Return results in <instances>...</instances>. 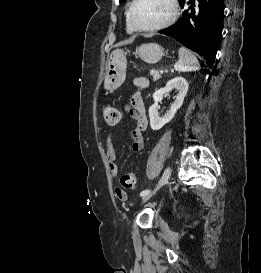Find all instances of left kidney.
Masks as SVG:
<instances>
[{
	"mask_svg": "<svg viewBox=\"0 0 261 273\" xmlns=\"http://www.w3.org/2000/svg\"><path fill=\"white\" fill-rule=\"evenodd\" d=\"M176 88L178 94L174 103L163 117L158 116V103L162 100L165 93ZM188 91V82L183 77L171 79L165 87L160 88L153 94L154 104L149 108L150 126L154 131L160 130L165 124L169 123L175 116L177 110L182 106Z\"/></svg>",
	"mask_w": 261,
	"mask_h": 273,
	"instance_id": "left-kidney-1",
	"label": "left kidney"
}]
</instances>
